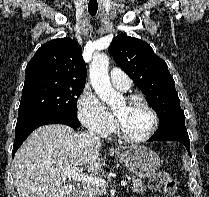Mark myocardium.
<instances>
[{
  "mask_svg": "<svg viewBox=\"0 0 209 197\" xmlns=\"http://www.w3.org/2000/svg\"><path fill=\"white\" fill-rule=\"evenodd\" d=\"M125 100L130 103L140 102L143 106H145L151 114L152 124H151L149 130L143 136L133 137V136L128 135L123 130L117 116L115 115V128H116L117 134L120 136V138H122L123 140H125L126 142H129V143L138 144V143H143V142L148 141L155 134V132L158 128V125H159V116H158L156 110L154 109V107L148 102V100L144 96L139 95V94L128 95L125 98Z\"/></svg>",
  "mask_w": 209,
  "mask_h": 197,
  "instance_id": "f54148a6",
  "label": "myocardium"
}]
</instances>
